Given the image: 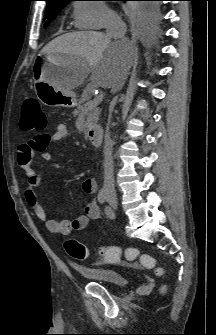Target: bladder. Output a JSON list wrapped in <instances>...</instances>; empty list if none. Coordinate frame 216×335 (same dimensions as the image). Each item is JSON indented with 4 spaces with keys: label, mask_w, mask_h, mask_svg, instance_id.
<instances>
[{
    "label": "bladder",
    "mask_w": 216,
    "mask_h": 335,
    "mask_svg": "<svg viewBox=\"0 0 216 335\" xmlns=\"http://www.w3.org/2000/svg\"><path fill=\"white\" fill-rule=\"evenodd\" d=\"M75 270L94 282H101L111 286H124L127 284L125 275L112 268L76 266Z\"/></svg>",
    "instance_id": "31cf9c89"
}]
</instances>
